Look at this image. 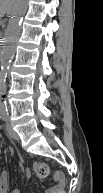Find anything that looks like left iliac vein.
<instances>
[{
	"label": "left iliac vein",
	"instance_id": "obj_1",
	"mask_svg": "<svg viewBox=\"0 0 103 193\" xmlns=\"http://www.w3.org/2000/svg\"><path fill=\"white\" fill-rule=\"evenodd\" d=\"M6 129H7V132L11 138H13L15 140H19L18 134L13 130V128L9 122L6 124Z\"/></svg>",
	"mask_w": 103,
	"mask_h": 193
}]
</instances>
